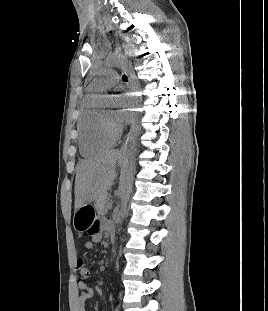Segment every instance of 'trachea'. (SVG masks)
<instances>
[{"label":"trachea","instance_id":"obj_1","mask_svg":"<svg viewBox=\"0 0 268 311\" xmlns=\"http://www.w3.org/2000/svg\"><path fill=\"white\" fill-rule=\"evenodd\" d=\"M122 80H123L124 82H127V76H126V75H123V76H122Z\"/></svg>","mask_w":268,"mask_h":311}]
</instances>
